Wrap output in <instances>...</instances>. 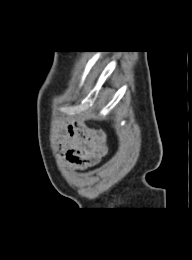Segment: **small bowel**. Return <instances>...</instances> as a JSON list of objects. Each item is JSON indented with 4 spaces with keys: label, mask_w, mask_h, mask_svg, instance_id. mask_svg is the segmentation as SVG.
Here are the masks:
<instances>
[{
    "label": "small bowel",
    "mask_w": 192,
    "mask_h": 260,
    "mask_svg": "<svg viewBox=\"0 0 192 260\" xmlns=\"http://www.w3.org/2000/svg\"><path fill=\"white\" fill-rule=\"evenodd\" d=\"M60 150L70 169L85 170L106 154L105 134L80 122L69 123L64 129Z\"/></svg>",
    "instance_id": "1"
}]
</instances>
